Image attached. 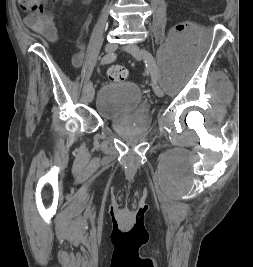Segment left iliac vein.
Masks as SVG:
<instances>
[{
  "instance_id": "4c4485c4",
  "label": "left iliac vein",
  "mask_w": 253,
  "mask_h": 267,
  "mask_svg": "<svg viewBox=\"0 0 253 267\" xmlns=\"http://www.w3.org/2000/svg\"><path fill=\"white\" fill-rule=\"evenodd\" d=\"M124 48L128 53H130L137 60H142L144 59L146 55H151L148 51L146 52L143 51L142 49H140V47H138L135 44L126 45ZM154 92L158 97H163L164 95L163 90L158 85L154 86Z\"/></svg>"
}]
</instances>
